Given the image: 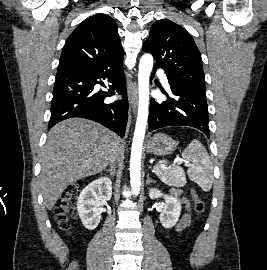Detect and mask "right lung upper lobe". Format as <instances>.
Segmentation results:
<instances>
[{
	"label": "right lung upper lobe",
	"instance_id": "cb5924a9",
	"mask_svg": "<svg viewBox=\"0 0 267 270\" xmlns=\"http://www.w3.org/2000/svg\"><path fill=\"white\" fill-rule=\"evenodd\" d=\"M123 55L116 22L108 15L96 14L84 20L68 37L57 73L101 65Z\"/></svg>",
	"mask_w": 267,
	"mask_h": 270
}]
</instances>
